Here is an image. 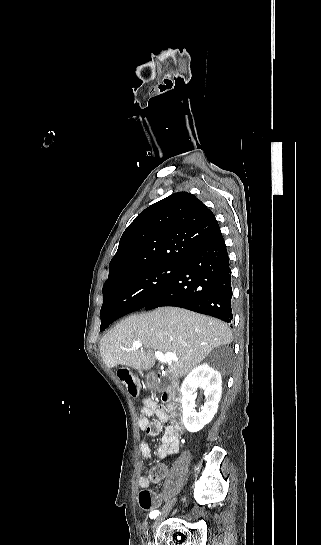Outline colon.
<instances>
[{"label": "colon", "mask_w": 321, "mask_h": 545, "mask_svg": "<svg viewBox=\"0 0 321 545\" xmlns=\"http://www.w3.org/2000/svg\"><path fill=\"white\" fill-rule=\"evenodd\" d=\"M117 375L128 393L133 397L138 396L139 387L135 375L126 368L119 369ZM138 499L140 507L145 511H151L157 508L161 502L157 495L147 489L140 491Z\"/></svg>", "instance_id": "obj_1"}]
</instances>
